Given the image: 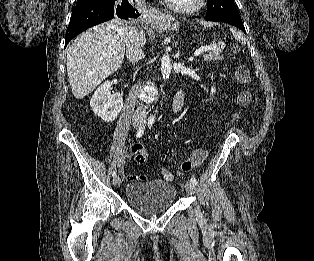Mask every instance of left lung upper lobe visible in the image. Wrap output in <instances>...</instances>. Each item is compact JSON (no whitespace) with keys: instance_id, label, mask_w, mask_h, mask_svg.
<instances>
[{"instance_id":"1","label":"left lung upper lobe","mask_w":314,"mask_h":261,"mask_svg":"<svg viewBox=\"0 0 314 261\" xmlns=\"http://www.w3.org/2000/svg\"><path fill=\"white\" fill-rule=\"evenodd\" d=\"M207 17L211 19L241 20L234 0H208Z\"/></svg>"}]
</instances>
